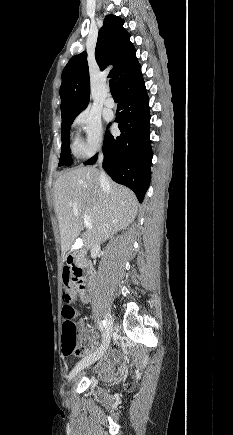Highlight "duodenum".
I'll use <instances>...</instances> for the list:
<instances>
[{
  "label": "duodenum",
  "mask_w": 233,
  "mask_h": 435,
  "mask_svg": "<svg viewBox=\"0 0 233 435\" xmlns=\"http://www.w3.org/2000/svg\"><path fill=\"white\" fill-rule=\"evenodd\" d=\"M68 263L73 274L77 277V289L79 291V298L83 303H87L89 300L86 294V287L82 282V277L90 271V266L84 259L82 252L72 253L68 258Z\"/></svg>",
  "instance_id": "duodenum-1"
}]
</instances>
